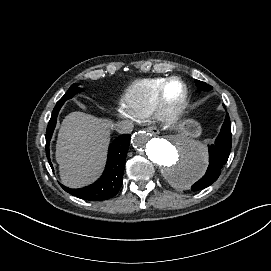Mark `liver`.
Instances as JSON below:
<instances>
[{
	"mask_svg": "<svg viewBox=\"0 0 271 271\" xmlns=\"http://www.w3.org/2000/svg\"><path fill=\"white\" fill-rule=\"evenodd\" d=\"M113 123L83 112L65 117L58 133L56 161L64 185L79 188L102 172Z\"/></svg>",
	"mask_w": 271,
	"mask_h": 271,
	"instance_id": "liver-1",
	"label": "liver"
}]
</instances>
